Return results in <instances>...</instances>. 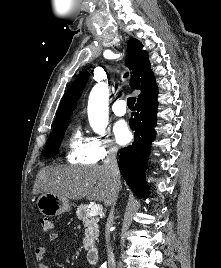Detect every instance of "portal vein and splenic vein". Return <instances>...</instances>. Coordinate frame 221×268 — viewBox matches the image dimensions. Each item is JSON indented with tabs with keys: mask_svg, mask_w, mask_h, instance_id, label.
<instances>
[{
	"mask_svg": "<svg viewBox=\"0 0 221 268\" xmlns=\"http://www.w3.org/2000/svg\"><path fill=\"white\" fill-rule=\"evenodd\" d=\"M103 210V207L102 205L100 204H95L91 207L89 213H88V216L92 217V216H96L98 215L99 213H101Z\"/></svg>",
	"mask_w": 221,
	"mask_h": 268,
	"instance_id": "obj_1",
	"label": "portal vein and splenic vein"
}]
</instances>
